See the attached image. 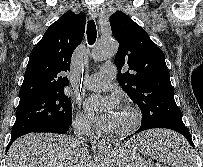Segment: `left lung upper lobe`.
Instances as JSON below:
<instances>
[{"mask_svg": "<svg viewBox=\"0 0 203 167\" xmlns=\"http://www.w3.org/2000/svg\"><path fill=\"white\" fill-rule=\"evenodd\" d=\"M110 25L119 42L115 56L118 83L142 112L140 127L184 125L163 51L121 11L111 15ZM122 70L126 71L122 73Z\"/></svg>", "mask_w": 203, "mask_h": 167, "instance_id": "obj_1", "label": "left lung upper lobe"}]
</instances>
